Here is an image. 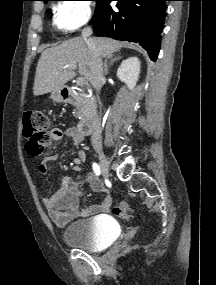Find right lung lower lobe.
<instances>
[{
    "instance_id": "obj_1",
    "label": "right lung lower lobe",
    "mask_w": 216,
    "mask_h": 285,
    "mask_svg": "<svg viewBox=\"0 0 216 285\" xmlns=\"http://www.w3.org/2000/svg\"><path fill=\"white\" fill-rule=\"evenodd\" d=\"M112 0H98L94 23L97 36L139 43L155 61L164 25L165 2L169 0H116L117 5H108Z\"/></svg>"
}]
</instances>
